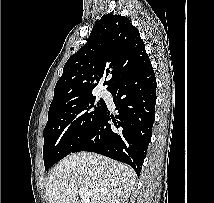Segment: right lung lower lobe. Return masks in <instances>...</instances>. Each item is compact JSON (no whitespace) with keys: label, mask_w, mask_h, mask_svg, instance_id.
Here are the masks:
<instances>
[{"label":"right lung lower lobe","mask_w":214,"mask_h":203,"mask_svg":"<svg viewBox=\"0 0 214 203\" xmlns=\"http://www.w3.org/2000/svg\"><path fill=\"white\" fill-rule=\"evenodd\" d=\"M109 92L114 96L116 119L105 104L72 153L90 151L110 157L129 164L139 176L154 123L156 78L151 63L118 82Z\"/></svg>","instance_id":"right-lung-lower-lobe-1"}]
</instances>
